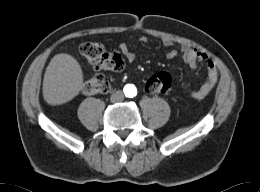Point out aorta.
Returning a JSON list of instances; mask_svg holds the SVG:
<instances>
[{
	"label": "aorta",
	"mask_w": 260,
	"mask_h": 192,
	"mask_svg": "<svg viewBox=\"0 0 260 192\" xmlns=\"http://www.w3.org/2000/svg\"><path fill=\"white\" fill-rule=\"evenodd\" d=\"M134 91H135L134 87L133 86H129V92L132 93Z\"/></svg>",
	"instance_id": "1"
}]
</instances>
